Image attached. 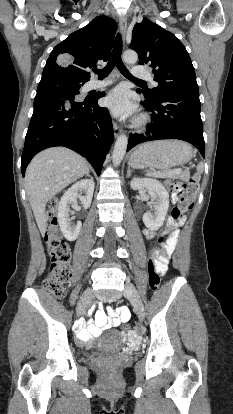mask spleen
Returning <instances> with one entry per match:
<instances>
[{"mask_svg":"<svg viewBox=\"0 0 233 414\" xmlns=\"http://www.w3.org/2000/svg\"><path fill=\"white\" fill-rule=\"evenodd\" d=\"M197 171H198L199 173H201V172L203 171V164H202V163H199V164L197 165Z\"/></svg>","mask_w":233,"mask_h":414,"instance_id":"3e777b00","label":"spleen"}]
</instances>
